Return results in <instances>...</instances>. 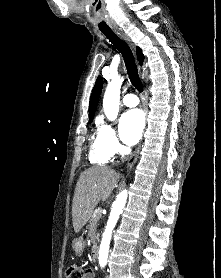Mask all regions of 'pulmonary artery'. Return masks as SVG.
Here are the masks:
<instances>
[{"label": "pulmonary artery", "instance_id": "1", "mask_svg": "<svg viewBox=\"0 0 221 278\" xmlns=\"http://www.w3.org/2000/svg\"><path fill=\"white\" fill-rule=\"evenodd\" d=\"M123 104L127 107H135L139 104V99L135 94H126L123 99Z\"/></svg>", "mask_w": 221, "mask_h": 278}]
</instances>
